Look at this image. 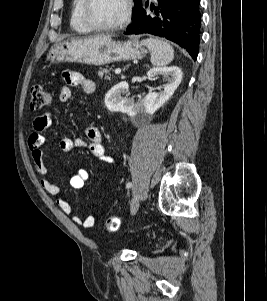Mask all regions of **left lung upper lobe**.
Returning a JSON list of instances; mask_svg holds the SVG:
<instances>
[{"mask_svg":"<svg viewBox=\"0 0 267 301\" xmlns=\"http://www.w3.org/2000/svg\"><path fill=\"white\" fill-rule=\"evenodd\" d=\"M143 4V0H134V9L132 11V18L138 13L140 10L141 6Z\"/></svg>","mask_w":267,"mask_h":301,"instance_id":"1","label":"left lung upper lobe"}]
</instances>
